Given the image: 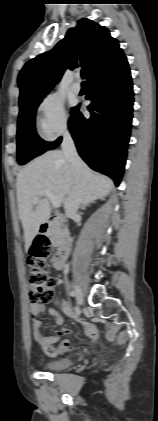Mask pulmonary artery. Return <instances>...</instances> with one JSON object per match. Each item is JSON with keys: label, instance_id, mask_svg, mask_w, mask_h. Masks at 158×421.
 Here are the masks:
<instances>
[{"label": "pulmonary artery", "instance_id": "obj_1", "mask_svg": "<svg viewBox=\"0 0 158 421\" xmlns=\"http://www.w3.org/2000/svg\"><path fill=\"white\" fill-rule=\"evenodd\" d=\"M81 84L79 82V76L76 77V81L72 85V91L76 94L80 93L81 91Z\"/></svg>", "mask_w": 158, "mask_h": 421}]
</instances>
